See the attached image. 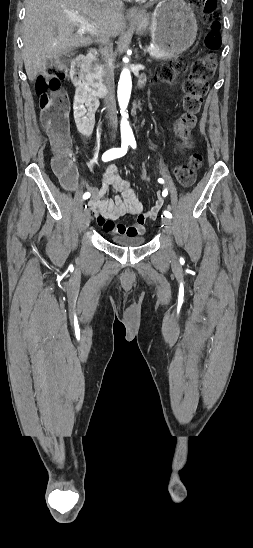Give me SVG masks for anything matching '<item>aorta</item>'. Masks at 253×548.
Returning <instances> with one entry per match:
<instances>
[{
  "instance_id": "1",
  "label": "aorta",
  "mask_w": 253,
  "mask_h": 548,
  "mask_svg": "<svg viewBox=\"0 0 253 548\" xmlns=\"http://www.w3.org/2000/svg\"><path fill=\"white\" fill-rule=\"evenodd\" d=\"M131 88H132V80H131V74L128 69H123L120 75V80L118 83V102L122 110V114L124 116L122 122H121V135L122 138H132L133 133L129 126V123L126 120V114L124 113V110L126 109L130 95H131Z\"/></svg>"
}]
</instances>
